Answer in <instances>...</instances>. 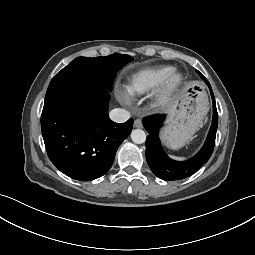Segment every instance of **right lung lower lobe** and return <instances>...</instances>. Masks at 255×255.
Returning <instances> with one entry per match:
<instances>
[{
    "label": "right lung lower lobe",
    "instance_id": "1",
    "mask_svg": "<svg viewBox=\"0 0 255 255\" xmlns=\"http://www.w3.org/2000/svg\"><path fill=\"white\" fill-rule=\"evenodd\" d=\"M109 90L88 81L49 85L41 130L52 163L81 181L108 172L119 145L131 133L133 119L118 124L108 117Z\"/></svg>",
    "mask_w": 255,
    "mask_h": 255
}]
</instances>
